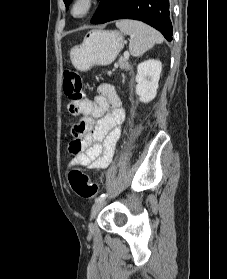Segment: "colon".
I'll list each match as a JSON object with an SVG mask.
<instances>
[{
  "label": "colon",
  "instance_id": "1",
  "mask_svg": "<svg viewBox=\"0 0 227 279\" xmlns=\"http://www.w3.org/2000/svg\"><path fill=\"white\" fill-rule=\"evenodd\" d=\"M83 83L79 73L65 71L64 73V94L67 100V108L71 113L76 112L82 97ZM79 144L70 146V152L76 154L79 151ZM69 182L74 192L83 199H90L97 194L98 187L92 182L89 176L80 168H73L69 172Z\"/></svg>",
  "mask_w": 227,
  "mask_h": 279
}]
</instances>
